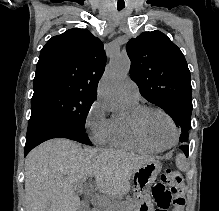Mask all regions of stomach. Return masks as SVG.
<instances>
[{
	"label": "stomach",
	"instance_id": "1",
	"mask_svg": "<svg viewBox=\"0 0 219 211\" xmlns=\"http://www.w3.org/2000/svg\"><path fill=\"white\" fill-rule=\"evenodd\" d=\"M162 169V164L151 161L133 172V183L136 191L135 211H154L149 198V190Z\"/></svg>",
	"mask_w": 219,
	"mask_h": 211
}]
</instances>
